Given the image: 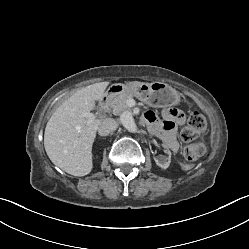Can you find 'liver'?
<instances>
[{
	"label": "liver",
	"instance_id": "6515ba94",
	"mask_svg": "<svg viewBox=\"0 0 249 249\" xmlns=\"http://www.w3.org/2000/svg\"><path fill=\"white\" fill-rule=\"evenodd\" d=\"M109 82L95 83L77 91L49 119L44 147L52 163L73 176H85L93 168L92 145L101 120L90 124L83 117L105 95Z\"/></svg>",
	"mask_w": 249,
	"mask_h": 249
}]
</instances>
